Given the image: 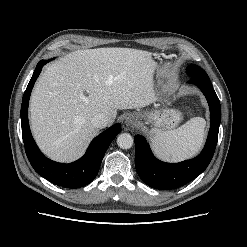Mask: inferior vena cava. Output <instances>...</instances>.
I'll return each instance as SVG.
<instances>
[{
  "label": "inferior vena cava",
  "instance_id": "1",
  "mask_svg": "<svg viewBox=\"0 0 247 247\" xmlns=\"http://www.w3.org/2000/svg\"><path fill=\"white\" fill-rule=\"evenodd\" d=\"M91 123L94 127L98 129H102V128H105L109 124V121L105 114L98 113L91 119Z\"/></svg>",
  "mask_w": 247,
  "mask_h": 247
}]
</instances>
